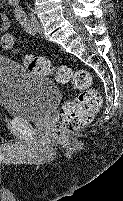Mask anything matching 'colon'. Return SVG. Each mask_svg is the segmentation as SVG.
I'll return each mask as SVG.
<instances>
[{"instance_id":"obj_1","label":"colon","mask_w":123,"mask_h":201,"mask_svg":"<svg viewBox=\"0 0 123 201\" xmlns=\"http://www.w3.org/2000/svg\"><path fill=\"white\" fill-rule=\"evenodd\" d=\"M6 50L18 52V46L13 37L7 36L2 41ZM28 69L38 75L54 76L62 84H70L79 91L78 96L66 102L58 112L52 130L54 139H61L65 135L87 126L102 105V98L98 90L91 87V76L87 70H72L67 66H54L50 60L39 55L26 58Z\"/></svg>"}]
</instances>
